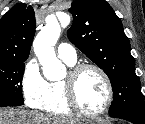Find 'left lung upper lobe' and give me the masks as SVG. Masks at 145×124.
Returning <instances> with one entry per match:
<instances>
[{"label":"left lung upper lobe","instance_id":"1","mask_svg":"<svg viewBox=\"0 0 145 124\" xmlns=\"http://www.w3.org/2000/svg\"><path fill=\"white\" fill-rule=\"evenodd\" d=\"M69 11L73 15L69 40L110 78V116L145 119L140 80L120 18L105 0H75Z\"/></svg>","mask_w":145,"mask_h":124}]
</instances>
